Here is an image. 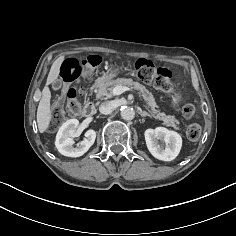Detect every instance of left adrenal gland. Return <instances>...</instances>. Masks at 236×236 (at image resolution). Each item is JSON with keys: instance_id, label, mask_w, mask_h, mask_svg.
Returning a JSON list of instances; mask_svg holds the SVG:
<instances>
[{"instance_id": "left-adrenal-gland-1", "label": "left adrenal gland", "mask_w": 236, "mask_h": 236, "mask_svg": "<svg viewBox=\"0 0 236 236\" xmlns=\"http://www.w3.org/2000/svg\"><path fill=\"white\" fill-rule=\"evenodd\" d=\"M138 114L141 116V117H152L149 113L145 112V111H142L141 109H139V112Z\"/></svg>"}]
</instances>
